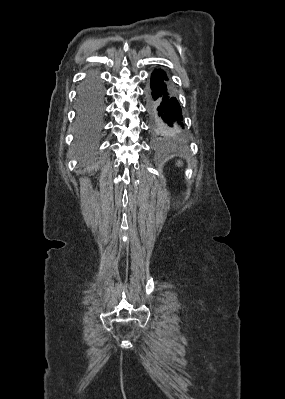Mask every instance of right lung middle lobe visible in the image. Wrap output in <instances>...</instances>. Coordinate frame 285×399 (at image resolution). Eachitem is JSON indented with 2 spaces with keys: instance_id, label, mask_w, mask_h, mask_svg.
Instances as JSON below:
<instances>
[{
  "instance_id": "1",
  "label": "right lung middle lobe",
  "mask_w": 285,
  "mask_h": 399,
  "mask_svg": "<svg viewBox=\"0 0 285 399\" xmlns=\"http://www.w3.org/2000/svg\"><path fill=\"white\" fill-rule=\"evenodd\" d=\"M103 107V89L98 81L89 79L79 91V117L83 121L97 117Z\"/></svg>"
}]
</instances>
